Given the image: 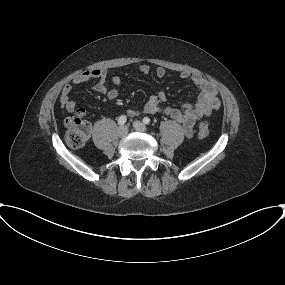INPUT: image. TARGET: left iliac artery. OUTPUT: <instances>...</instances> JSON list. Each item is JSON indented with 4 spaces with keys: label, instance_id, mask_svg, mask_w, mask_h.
Returning <instances> with one entry per match:
<instances>
[{
    "label": "left iliac artery",
    "instance_id": "obj_1",
    "mask_svg": "<svg viewBox=\"0 0 285 285\" xmlns=\"http://www.w3.org/2000/svg\"><path fill=\"white\" fill-rule=\"evenodd\" d=\"M142 121H143L144 124L148 125L150 123V118L144 117Z\"/></svg>",
    "mask_w": 285,
    "mask_h": 285
}]
</instances>
